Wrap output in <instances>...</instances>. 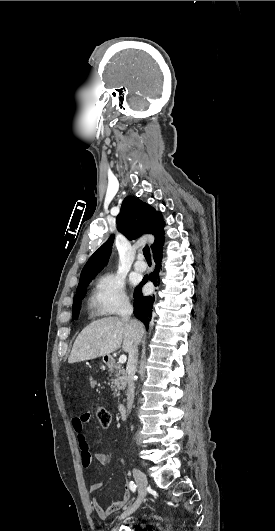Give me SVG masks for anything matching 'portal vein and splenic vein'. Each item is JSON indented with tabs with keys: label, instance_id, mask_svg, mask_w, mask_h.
<instances>
[{
	"label": "portal vein and splenic vein",
	"instance_id": "portal-vein-and-splenic-vein-1",
	"mask_svg": "<svg viewBox=\"0 0 275 531\" xmlns=\"http://www.w3.org/2000/svg\"><path fill=\"white\" fill-rule=\"evenodd\" d=\"M126 361H127L126 355H121V357H119L118 363H126Z\"/></svg>",
	"mask_w": 275,
	"mask_h": 531
}]
</instances>
